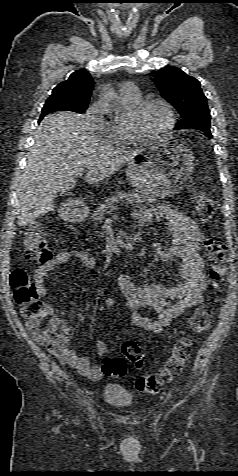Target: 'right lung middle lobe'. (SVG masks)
Instances as JSON below:
<instances>
[{
	"instance_id": "dd1d6c3e",
	"label": "right lung middle lobe",
	"mask_w": 238,
	"mask_h": 476,
	"mask_svg": "<svg viewBox=\"0 0 238 476\" xmlns=\"http://www.w3.org/2000/svg\"><path fill=\"white\" fill-rule=\"evenodd\" d=\"M87 109V105H76L71 103V101L63 95L55 94L50 96L43 109L41 117L55 112V111H71L76 113H83Z\"/></svg>"
}]
</instances>
